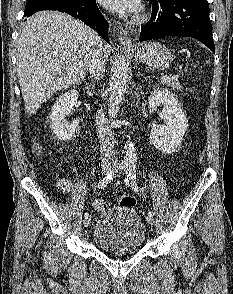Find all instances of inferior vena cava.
<instances>
[{
    "label": "inferior vena cava",
    "instance_id": "602c4592",
    "mask_svg": "<svg viewBox=\"0 0 233 294\" xmlns=\"http://www.w3.org/2000/svg\"><path fill=\"white\" fill-rule=\"evenodd\" d=\"M103 44L100 41L98 50L90 56L88 70L90 77L99 80L103 77L105 71V60L103 59ZM96 129L100 143L101 161L103 166L113 164L115 162V146L113 136L108 125V121L102 109L96 114Z\"/></svg>",
    "mask_w": 233,
    "mask_h": 294
}]
</instances>
